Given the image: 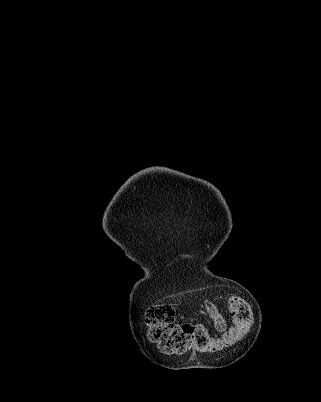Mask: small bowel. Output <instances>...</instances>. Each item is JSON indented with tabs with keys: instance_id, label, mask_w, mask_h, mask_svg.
<instances>
[{
	"instance_id": "small-bowel-1",
	"label": "small bowel",
	"mask_w": 321,
	"mask_h": 402,
	"mask_svg": "<svg viewBox=\"0 0 321 402\" xmlns=\"http://www.w3.org/2000/svg\"><path fill=\"white\" fill-rule=\"evenodd\" d=\"M204 309L206 313L212 318L214 322V328L218 332L225 331L227 327V322L224 316L219 311L217 305L213 302L207 301L204 303Z\"/></svg>"
}]
</instances>
